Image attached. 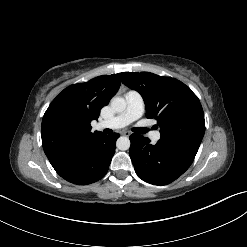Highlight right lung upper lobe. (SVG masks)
<instances>
[{
  "mask_svg": "<svg viewBox=\"0 0 247 247\" xmlns=\"http://www.w3.org/2000/svg\"><path fill=\"white\" fill-rule=\"evenodd\" d=\"M121 74L103 75L65 88L49 105L42 120V145L48 159L75 152L101 132L90 122L116 94Z\"/></svg>",
  "mask_w": 247,
  "mask_h": 247,
  "instance_id": "right-lung-upper-lobe-1",
  "label": "right lung upper lobe"
}]
</instances>
